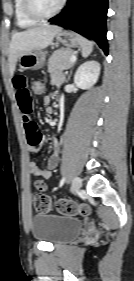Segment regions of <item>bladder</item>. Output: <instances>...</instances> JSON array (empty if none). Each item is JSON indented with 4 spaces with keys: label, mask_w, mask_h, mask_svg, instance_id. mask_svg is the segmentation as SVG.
<instances>
[{
    "label": "bladder",
    "mask_w": 134,
    "mask_h": 281,
    "mask_svg": "<svg viewBox=\"0 0 134 281\" xmlns=\"http://www.w3.org/2000/svg\"><path fill=\"white\" fill-rule=\"evenodd\" d=\"M83 225L82 220L76 217L39 213L32 219L31 232L39 241L59 245L75 239Z\"/></svg>",
    "instance_id": "bladder-1"
}]
</instances>
